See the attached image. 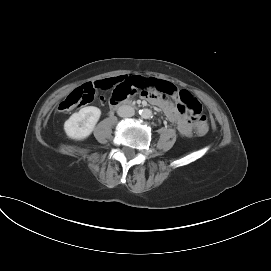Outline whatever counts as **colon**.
I'll list each match as a JSON object with an SVG mask.
<instances>
[{"label": "colon", "instance_id": "colon-1", "mask_svg": "<svg viewBox=\"0 0 271 271\" xmlns=\"http://www.w3.org/2000/svg\"><path fill=\"white\" fill-rule=\"evenodd\" d=\"M163 89V88H160ZM132 94V93H131ZM96 91L91 87H80L73 90L58 106L60 112H69L78 107L86 105L94 100ZM178 109L195 120V131L203 136L209 131V124L206 116L201 114V105L189 92H179Z\"/></svg>", "mask_w": 271, "mask_h": 271}]
</instances>
